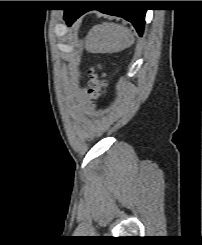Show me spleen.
Segmentation results:
<instances>
[{"label":"spleen","instance_id":"1","mask_svg":"<svg viewBox=\"0 0 202 245\" xmlns=\"http://www.w3.org/2000/svg\"><path fill=\"white\" fill-rule=\"evenodd\" d=\"M134 41V35L128 28L104 22L89 31L85 47L92 53H115L130 47Z\"/></svg>","mask_w":202,"mask_h":245}]
</instances>
